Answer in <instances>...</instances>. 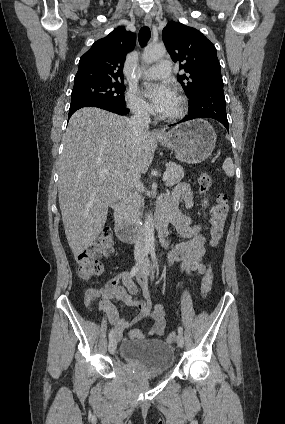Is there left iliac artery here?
Returning a JSON list of instances; mask_svg holds the SVG:
<instances>
[{
	"instance_id": "obj_1",
	"label": "left iliac artery",
	"mask_w": 285,
	"mask_h": 424,
	"mask_svg": "<svg viewBox=\"0 0 285 424\" xmlns=\"http://www.w3.org/2000/svg\"><path fill=\"white\" fill-rule=\"evenodd\" d=\"M151 257H152V260L154 262L155 268H156V270L158 272V266H157V261H156V256H155V250L154 249H151ZM178 333L179 334H183V328L181 326L178 327Z\"/></svg>"
}]
</instances>
